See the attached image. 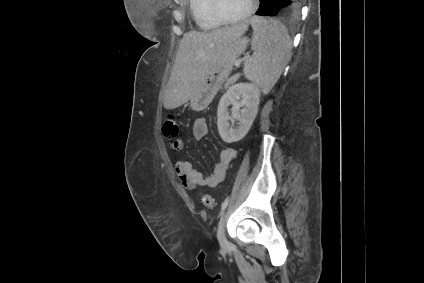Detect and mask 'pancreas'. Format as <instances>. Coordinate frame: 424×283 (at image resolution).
<instances>
[{
    "label": "pancreas",
    "instance_id": "pancreas-1",
    "mask_svg": "<svg viewBox=\"0 0 424 283\" xmlns=\"http://www.w3.org/2000/svg\"><path fill=\"white\" fill-rule=\"evenodd\" d=\"M239 77H240V74H236L230 77L229 79H227L224 84V89H228L230 85H233L238 80Z\"/></svg>",
    "mask_w": 424,
    "mask_h": 283
}]
</instances>
